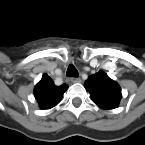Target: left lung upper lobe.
<instances>
[{
    "label": "left lung upper lobe",
    "instance_id": "5c2ea615",
    "mask_svg": "<svg viewBox=\"0 0 145 145\" xmlns=\"http://www.w3.org/2000/svg\"><path fill=\"white\" fill-rule=\"evenodd\" d=\"M85 88L90 92L92 100L103 109H113L119 104L120 86L110 79L103 71L90 76L85 82Z\"/></svg>",
    "mask_w": 145,
    "mask_h": 145
}]
</instances>
